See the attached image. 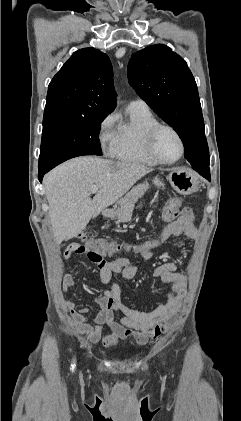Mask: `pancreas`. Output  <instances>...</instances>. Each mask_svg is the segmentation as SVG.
Segmentation results:
<instances>
[{"instance_id":"cf45deb5","label":"pancreas","mask_w":241,"mask_h":421,"mask_svg":"<svg viewBox=\"0 0 241 421\" xmlns=\"http://www.w3.org/2000/svg\"><path fill=\"white\" fill-rule=\"evenodd\" d=\"M149 189L148 182H144L136 185L130 192H128L124 198H121L117 204L119 205L115 216L117 217L116 223L127 222L131 220L132 211L135 203L141 198L145 192Z\"/></svg>"}]
</instances>
